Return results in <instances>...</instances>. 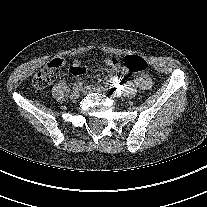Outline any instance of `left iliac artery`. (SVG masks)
<instances>
[{
    "label": "left iliac artery",
    "instance_id": "1",
    "mask_svg": "<svg viewBox=\"0 0 207 207\" xmlns=\"http://www.w3.org/2000/svg\"><path fill=\"white\" fill-rule=\"evenodd\" d=\"M104 88V87H102ZM108 91H111L113 93V96H120L121 95V89H115V88H112L111 86H108L106 88Z\"/></svg>",
    "mask_w": 207,
    "mask_h": 207
}]
</instances>
